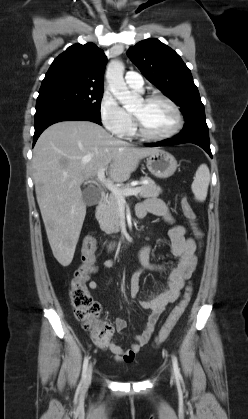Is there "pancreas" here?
<instances>
[{
  "label": "pancreas",
  "instance_id": "obj_1",
  "mask_svg": "<svg viewBox=\"0 0 248 419\" xmlns=\"http://www.w3.org/2000/svg\"><path fill=\"white\" fill-rule=\"evenodd\" d=\"M141 180L147 181V184L141 185L139 196L143 198L147 197H157L162 192L161 188L157 186L150 177H142ZM121 190L132 189L131 184H126L119 187ZM120 201L119 199L111 193L107 198L104 207L102 208L99 215V224L101 230L106 234L118 233L120 231Z\"/></svg>",
  "mask_w": 248,
  "mask_h": 419
}]
</instances>
